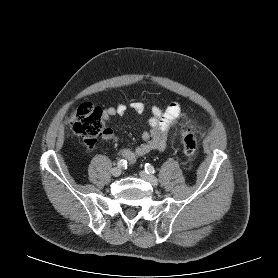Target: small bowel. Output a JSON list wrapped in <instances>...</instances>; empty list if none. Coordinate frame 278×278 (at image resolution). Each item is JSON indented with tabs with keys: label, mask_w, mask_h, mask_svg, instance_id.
Segmentation results:
<instances>
[{
	"label": "small bowel",
	"mask_w": 278,
	"mask_h": 278,
	"mask_svg": "<svg viewBox=\"0 0 278 278\" xmlns=\"http://www.w3.org/2000/svg\"><path fill=\"white\" fill-rule=\"evenodd\" d=\"M146 105L143 102L135 101L129 106L124 103H118L114 107H109L105 111V116L123 117L128 110H133L140 115L145 111ZM182 115L181 105L178 102H172L165 110L157 106L151 107V117L149 118V129L142 132L143 143L134 149L123 148L121 155L130 163H135L139 157L148 154L151 151H163L167 146V136L170 129L179 121ZM114 134L111 128H106L103 139L111 140Z\"/></svg>",
	"instance_id": "small-bowel-1"
}]
</instances>
